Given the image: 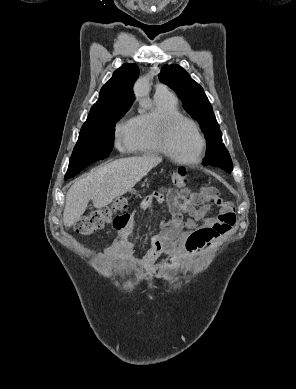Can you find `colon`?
<instances>
[{
  "instance_id": "colon-1",
  "label": "colon",
  "mask_w": 296,
  "mask_h": 389,
  "mask_svg": "<svg viewBox=\"0 0 296 389\" xmlns=\"http://www.w3.org/2000/svg\"><path fill=\"white\" fill-rule=\"evenodd\" d=\"M172 182L178 188L186 187L188 175L185 169H178L172 173ZM207 191V189H205ZM127 200L119 198L111 205L94 209L79 219L76 231L82 235H90L102 229L106 224L122 225L126 221L123 211L127 208Z\"/></svg>"
}]
</instances>
